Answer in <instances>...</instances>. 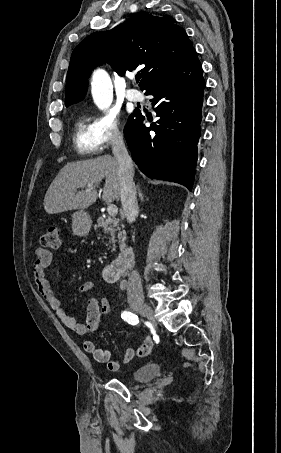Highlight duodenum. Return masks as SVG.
<instances>
[{
	"label": "duodenum",
	"mask_w": 281,
	"mask_h": 453,
	"mask_svg": "<svg viewBox=\"0 0 281 453\" xmlns=\"http://www.w3.org/2000/svg\"><path fill=\"white\" fill-rule=\"evenodd\" d=\"M133 257L131 248H123L118 256L104 267L102 271L104 280L107 282L117 281L131 265Z\"/></svg>",
	"instance_id": "410a0bca"
}]
</instances>
